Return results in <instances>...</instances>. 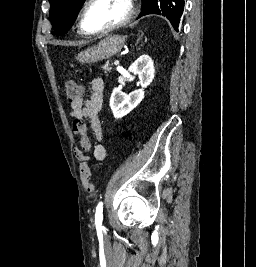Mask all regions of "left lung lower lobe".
I'll list each match as a JSON object with an SVG mask.
<instances>
[{"label":"left lung lower lobe","instance_id":"0a47b994","mask_svg":"<svg viewBox=\"0 0 256 267\" xmlns=\"http://www.w3.org/2000/svg\"><path fill=\"white\" fill-rule=\"evenodd\" d=\"M183 9H184V0H174L175 14H174V19L171 24L176 31H178V25H179L180 17L183 13Z\"/></svg>","mask_w":256,"mask_h":267}]
</instances>
